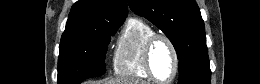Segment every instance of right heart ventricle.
<instances>
[{
  "instance_id": "1",
  "label": "right heart ventricle",
  "mask_w": 260,
  "mask_h": 84,
  "mask_svg": "<svg viewBox=\"0 0 260 84\" xmlns=\"http://www.w3.org/2000/svg\"><path fill=\"white\" fill-rule=\"evenodd\" d=\"M154 33L153 28L143 19H128L113 53L112 67L116 75L150 79L144 67V49L147 39Z\"/></svg>"
}]
</instances>
